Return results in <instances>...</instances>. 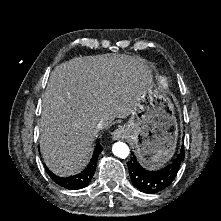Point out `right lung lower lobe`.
I'll use <instances>...</instances> for the list:
<instances>
[{"mask_svg":"<svg viewBox=\"0 0 221 221\" xmlns=\"http://www.w3.org/2000/svg\"><path fill=\"white\" fill-rule=\"evenodd\" d=\"M103 147L97 142V145L94 149L93 156L91 161L89 162L88 166L79 174L62 178L54 175L49 169L45 166V169L48 175L51 177L53 181H55L58 185L65 187L67 189H81L86 187L89 182L91 181L92 176L95 173L97 160L100 152L102 151Z\"/></svg>","mask_w":221,"mask_h":221,"instance_id":"1","label":"right lung lower lobe"}]
</instances>
